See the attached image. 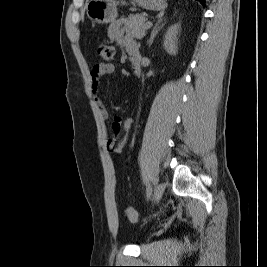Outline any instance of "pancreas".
I'll return each instance as SVG.
<instances>
[{
  "label": "pancreas",
  "mask_w": 267,
  "mask_h": 267,
  "mask_svg": "<svg viewBox=\"0 0 267 267\" xmlns=\"http://www.w3.org/2000/svg\"><path fill=\"white\" fill-rule=\"evenodd\" d=\"M146 16V14H136L125 20V29L133 38L142 39L146 35Z\"/></svg>",
  "instance_id": "cf45deb5"
}]
</instances>
